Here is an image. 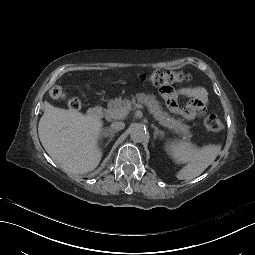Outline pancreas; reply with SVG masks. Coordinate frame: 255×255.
<instances>
[{"label":"pancreas","mask_w":255,"mask_h":255,"mask_svg":"<svg viewBox=\"0 0 255 255\" xmlns=\"http://www.w3.org/2000/svg\"><path fill=\"white\" fill-rule=\"evenodd\" d=\"M132 100L124 99L122 97L110 100L108 103V109L105 110V117L107 119L120 120L125 117L124 110L126 113L131 109V105L139 102L146 105L151 114L154 115L155 120L159 122L160 125L172 129L177 134H182L186 138H191V133L189 132L190 127L183 123L182 119L175 120L167 112H164L160 107L154 95H146L144 93H138L135 96H131Z\"/></svg>","instance_id":"1"}]
</instances>
